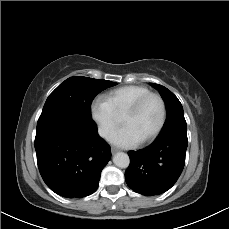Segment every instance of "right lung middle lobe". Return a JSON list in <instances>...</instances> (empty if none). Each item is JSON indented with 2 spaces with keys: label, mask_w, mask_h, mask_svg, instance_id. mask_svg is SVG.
I'll list each match as a JSON object with an SVG mask.
<instances>
[{
  "label": "right lung middle lobe",
  "mask_w": 229,
  "mask_h": 229,
  "mask_svg": "<svg viewBox=\"0 0 229 229\" xmlns=\"http://www.w3.org/2000/svg\"><path fill=\"white\" fill-rule=\"evenodd\" d=\"M117 83L88 77H70L47 98L41 116L58 114L81 115L91 118L90 106L95 96Z\"/></svg>",
  "instance_id": "right-lung-middle-lobe-1"
}]
</instances>
